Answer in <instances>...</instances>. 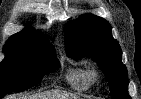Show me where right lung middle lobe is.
<instances>
[{
    "instance_id": "obj_1",
    "label": "right lung middle lobe",
    "mask_w": 141,
    "mask_h": 99,
    "mask_svg": "<svg viewBox=\"0 0 141 99\" xmlns=\"http://www.w3.org/2000/svg\"><path fill=\"white\" fill-rule=\"evenodd\" d=\"M3 51L5 58L0 63V98L34 86L59 66L52 44L7 41Z\"/></svg>"
}]
</instances>
